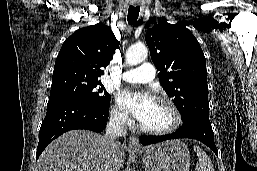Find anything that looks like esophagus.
<instances>
[{
	"instance_id": "obj_1",
	"label": "esophagus",
	"mask_w": 257,
	"mask_h": 171,
	"mask_svg": "<svg viewBox=\"0 0 257 171\" xmlns=\"http://www.w3.org/2000/svg\"><path fill=\"white\" fill-rule=\"evenodd\" d=\"M129 148L132 151H139L141 148L138 138L134 135H131L129 138Z\"/></svg>"
}]
</instances>
